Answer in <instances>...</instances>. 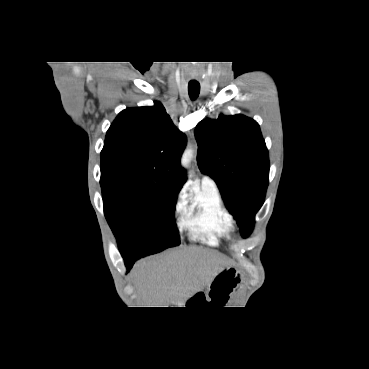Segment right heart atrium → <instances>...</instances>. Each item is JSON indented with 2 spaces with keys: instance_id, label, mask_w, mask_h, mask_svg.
Returning a JSON list of instances; mask_svg holds the SVG:
<instances>
[{
  "instance_id": "1",
  "label": "right heart atrium",
  "mask_w": 369,
  "mask_h": 369,
  "mask_svg": "<svg viewBox=\"0 0 369 369\" xmlns=\"http://www.w3.org/2000/svg\"><path fill=\"white\" fill-rule=\"evenodd\" d=\"M183 207H184V197L182 194H179L177 204H176V209L182 210Z\"/></svg>"
}]
</instances>
